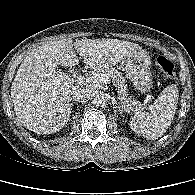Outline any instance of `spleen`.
Instances as JSON below:
<instances>
[{
    "label": "spleen",
    "instance_id": "1",
    "mask_svg": "<svg viewBox=\"0 0 195 195\" xmlns=\"http://www.w3.org/2000/svg\"><path fill=\"white\" fill-rule=\"evenodd\" d=\"M178 97L177 86L175 84L167 86L149 107V112H136L130 119V128L147 140L158 139L167 131L174 119Z\"/></svg>",
    "mask_w": 195,
    "mask_h": 195
}]
</instances>
